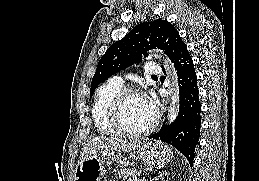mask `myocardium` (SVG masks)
<instances>
[{"label": "myocardium", "mask_w": 259, "mask_h": 181, "mask_svg": "<svg viewBox=\"0 0 259 181\" xmlns=\"http://www.w3.org/2000/svg\"><path fill=\"white\" fill-rule=\"evenodd\" d=\"M134 96L145 97L144 93L137 88H124L116 95L111 106V120L114 127L118 132L128 137H140L151 132L159 121V114L155 113L154 119L148 126L139 130L126 128L122 120L123 108L127 100Z\"/></svg>", "instance_id": "f54148a6"}]
</instances>
